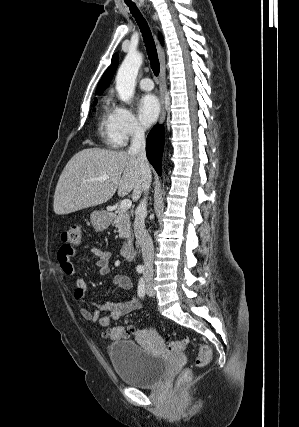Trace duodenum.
<instances>
[{
  "label": "duodenum",
  "mask_w": 299,
  "mask_h": 427,
  "mask_svg": "<svg viewBox=\"0 0 299 427\" xmlns=\"http://www.w3.org/2000/svg\"><path fill=\"white\" fill-rule=\"evenodd\" d=\"M135 254L134 241H127L121 248V256L126 259H131Z\"/></svg>",
  "instance_id": "1"
}]
</instances>
